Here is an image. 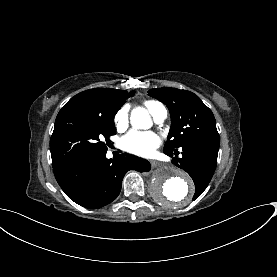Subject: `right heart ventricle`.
Returning <instances> with one entry per match:
<instances>
[{"label":"right heart ventricle","instance_id":"right-heart-ventricle-1","mask_svg":"<svg viewBox=\"0 0 277 277\" xmlns=\"http://www.w3.org/2000/svg\"><path fill=\"white\" fill-rule=\"evenodd\" d=\"M158 104L159 103L156 101H145L144 102L145 107L148 109V111L151 113L152 116H153Z\"/></svg>","mask_w":277,"mask_h":277}]
</instances>
